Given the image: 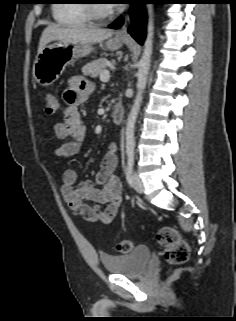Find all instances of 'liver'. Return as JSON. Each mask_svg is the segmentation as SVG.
<instances>
[{
	"label": "liver",
	"instance_id": "6515ba94",
	"mask_svg": "<svg viewBox=\"0 0 236 321\" xmlns=\"http://www.w3.org/2000/svg\"><path fill=\"white\" fill-rule=\"evenodd\" d=\"M113 31L109 29H95L86 27H58L50 24L44 29L38 47V53L52 41L81 42L86 44L100 43L112 37Z\"/></svg>",
	"mask_w": 236,
	"mask_h": 321
}]
</instances>
